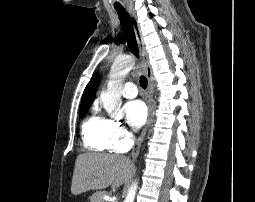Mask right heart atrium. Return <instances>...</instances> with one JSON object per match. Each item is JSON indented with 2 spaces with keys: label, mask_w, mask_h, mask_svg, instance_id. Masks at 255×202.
Here are the masks:
<instances>
[{
  "label": "right heart atrium",
  "mask_w": 255,
  "mask_h": 202,
  "mask_svg": "<svg viewBox=\"0 0 255 202\" xmlns=\"http://www.w3.org/2000/svg\"><path fill=\"white\" fill-rule=\"evenodd\" d=\"M131 139V135L119 120H110L109 141L111 148L114 150H123L127 147Z\"/></svg>",
  "instance_id": "d8ad5b80"
}]
</instances>
